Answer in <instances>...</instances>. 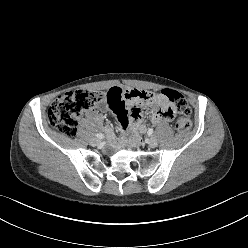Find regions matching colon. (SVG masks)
<instances>
[{
  "label": "colon",
  "instance_id": "5ec220e1",
  "mask_svg": "<svg viewBox=\"0 0 248 248\" xmlns=\"http://www.w3.org/2000/svg\"><path fill=\"white\" fill-rule=\"evenodd\" d=\"M163 94L169 101L168 112H177L180 117L176 122L179 132H187L191 127L190 107L182 94L165 89ZM105 98V93L93 90H73L61 94L48 109V122L59 132L68 137L75 136L77 121L81 114ZM122 115V114H120Z\"/></svg>",
  "mask_w": 248,
  "mask_h": 248
}]
</instances>
